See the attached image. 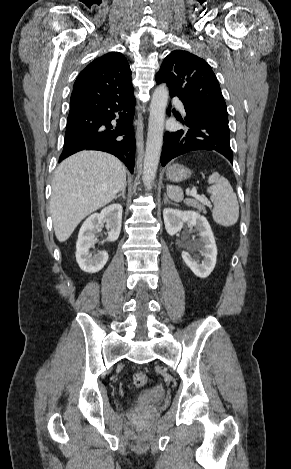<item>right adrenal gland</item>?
I'll list each match as a JSON object with an SVG mask.
<instances>
[{
    "label": "right adrenal gland",
    "instance_id": "right-adrenal-gland-1",
    "mask_svg": "<svg viewBox=\"0 0 291 469\" xmlns=\"http://www.w3.org/2000/svg\"><path fill=\"white\" fill-rule=\"evenodd\" d=\"M126 185H127V184H125V185H124V187L121 189V192H120V193H119V194H118V195L115 197V199L119 198L120 196H122V197H123V199H125V198H126V197H125V189H126Z\"/></svg>",
    "mask_w": 291,
    "mask_h": 469
}]
</instances>
